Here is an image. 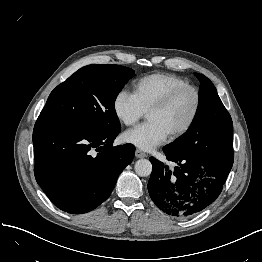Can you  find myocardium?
Instances as JSON below:
<instances>
[{"mask_svg": "<svg viewBox=\"0 0 262 262\" xmlns=\"http://www.w3.org/2000/svg\"><path fill=\"white\" fill-rule=\"evenodd\" d=\"M185 92H190L193 95V100H194L193 110L187 122L182 127H180L179 129H177L176 131H174L173 133L169 135V138L171 140H176L184 136L185 134H187L193 127L194 123L196 122V119L198 117V114L201 108L200 91L192 85H183V86L177 87L171 90L170 92H168L159 101L154 103L147 111V114H148L151 111L163 110L167 106H169L178 96H180L181 94Z\"/></svg>", "mask_w": 262, "mask_h": 262, "instance_id": "obj_1", "label": "myocardium"}]
</instances>
